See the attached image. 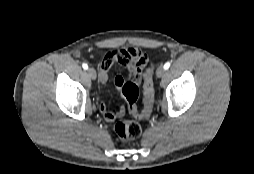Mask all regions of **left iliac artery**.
I'll use <instances>...</instances> for the list:
<instances>
[{
    "mask_svg": "<svg viewBox=\"0 0 254 174\" xmlns=\"http://www.w3.org/2000/svg\"><path fill=\"white\" fill-rule=\"evenodd\" d=\"M170 67V62L165 63L164 69L167 70Z\"/></svg>",
    "mask_w": 254,
    "mask_h": 174,
    "instance_id": "obj_1",
    "label": "left iliac artery"
}]
</instances>
